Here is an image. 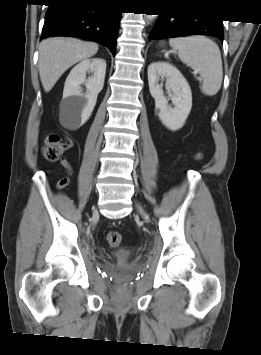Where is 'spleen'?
<instances>
[{
	"label": "spleen",
	"mask_w": 261,
	"mask_h": 355,
	"mask_svg": "<svg viewBox=\"0 0 261 355\" xmlns=\"http://www.w3.org/2000/svg\"><path fill=\"white\" fill-rule=\"evenodd\" d=\"M178 52L179 59L202 77L200 89L204 95L213 96L221 88L223 68L218 45L205 36L178 37L169 40Z\"/></svg>",
	"instance_id": "3e777b00"
}]
</instances>
